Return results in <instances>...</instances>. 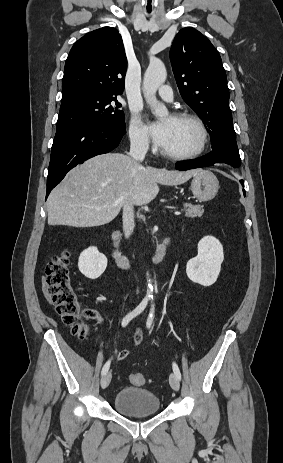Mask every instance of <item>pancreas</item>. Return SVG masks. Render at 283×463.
Here are the masks:
<instances>
[{"label":"pancreas","instance_id":"cf45deb5","mask_svg":"<svg viewBox=\"0 0 283 463\" xmlns=\"http://www.w3.org/2000/svg\"><path fill=\"white\" fill-rule=\"evenodd\" d=\"M185 217L195 218L201 217L204 213V209L202 205H193L191 203H184L183 204Z\"/></svg>","mask_w":283,"mask_h":463}]
</instances>
